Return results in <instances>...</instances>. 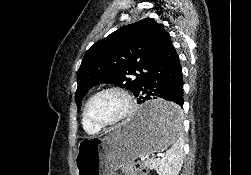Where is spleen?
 I'll use <instances>...</instances> for the list:
<instances>
[{"label": "spleen", "instance_id": "3e777b00", "mask_svg": "<svg viewBox=\"0 0 251 175\" xmlns=\"http://www.w3.org/2000/svg\"><path fill=\"white\" fill-rule=\"evenodd\" d=\"M180 111L179 107H172L167 115V123L172 133L174 145L166 151L165 157L153 159V165L159 175H178L182 167L183 135L180 125Z\"/></svg>", "mask_w": 251, "mask_h": 175}]
</instances>
